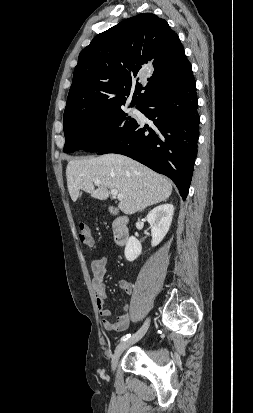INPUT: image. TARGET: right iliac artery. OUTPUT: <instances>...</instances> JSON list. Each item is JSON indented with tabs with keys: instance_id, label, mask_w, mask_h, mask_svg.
Instances as JSON below:
<instances>
[{
	"instance_id": "right-iliac-artery-1",
	"label": "right iliac artery",
	"mask_w": 253,
	"mask_h": 413,
	"mask_svg": "<svg viewBox=\"0 0 253 413\" xmlns=\"http://www.w3.org/2000/svg\"><path fill=\"white\" fill-rule=\"evenodd\" d=\"M130 337H131V334H126L121 338L120 341H125V340L129 339Z\"/></svg>"
}]
</instances>
